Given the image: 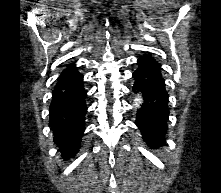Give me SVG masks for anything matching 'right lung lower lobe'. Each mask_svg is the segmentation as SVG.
I'll use <instances>...</instances> for the list:
<instances>
[{
	"label": "right lung lower lobe",
	"instance_id": "98d812e1",
	"mask_svg": "<svg viewBox=\"0 0 221 193\" xmlns=\"http://www.w3.org/2000/svg\"><path fill=\"white\" fill-rule=\"evenodd\" d=\"M86 94L83 75L74 67L61 73L52 92L49 125L64 159L78 151L85 130Z\"/></svg>",
	"mask_w": 221,
	"mask_h": 193
}]
</instances>
